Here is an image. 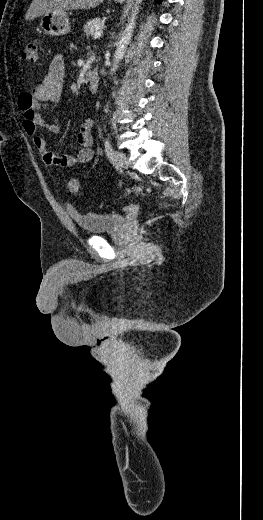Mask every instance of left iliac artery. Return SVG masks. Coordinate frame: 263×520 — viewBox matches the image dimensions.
Returning <instances> with one entry per match:
<instances>
[{
    "label": "left iliac artery",
    "mask_w": 263,
    "mask_h": 520,
    "mask_svg": "<svg viewBox=\"0 0 263 520\" xmlns=\"http://www.w3.org/2000/svg\"><path fill=\"white\" fill-rule=\"evenodd\" d=\"M104 146H105V153H106L107 157L110 160L113 159V150H112L111 144L108 140L105 141Z\"/></svg>",
    "instance_id": "44dca946"
}]
</instances>
